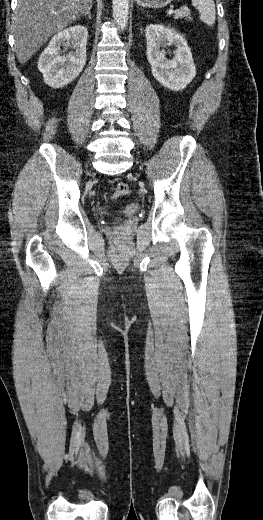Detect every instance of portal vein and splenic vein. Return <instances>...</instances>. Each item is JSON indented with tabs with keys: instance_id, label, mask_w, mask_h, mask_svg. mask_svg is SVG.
I'll use <instances>...</instances> for the list:
<instances>
[{
	"instance_id": "18ae733b",
	"label": "portal vein and splenic vein",
	"mask_w": 263,
	"mask_h": 520,
	"mask_svg": "<svg viewBox=\"0 0 263 520\" xmlns=\"http://www.w3.org/2000/svg\"><path fill=\"white\" fill-rule=\"evenodd\" d=\"M172 13H174V10H173V8H170L168 11V14H172Z\"/></svg>"
}]
</instances>
